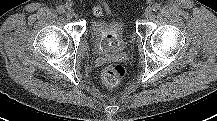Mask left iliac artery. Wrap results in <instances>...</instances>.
Here are the masks:
<instances>
[{"label": "left iliac artery", "instance_id": "left-iliac-artery-1", "mask_svg": "<svg viewBox=\"0 0 217 121\" xmlns=\"http://www.w3.org/2000/svg\"><path fill=\"white\" fill-rule=\"evenodd\" d=\"M160 8H161V6H160V4H158V3H156V4H154V5L152 6V10H153V11H158V10H160Z\"/></svg>", "mask_w": 217, "mask_h": 121}]
</instances>
